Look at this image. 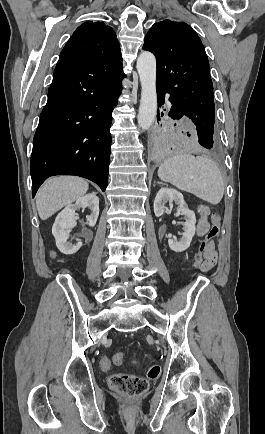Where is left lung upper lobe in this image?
Wrapping results in <instances>:
<instances>
[{"label": "left lung upper lobe", "mask_w": 265, "mask_h": 434, "mask_svg": "<svg viewBox=\"0 0 265 434\" xmlns=\"http://www.w3.org/2000/svg\"><path fill=\"white\" fill-rule=\"evenodd\" d=\"M144 50L157 62L156 85L170 93L195 126L215 125L213 84L204 46L185 22L169 19L155 23Z\"/></svg>", "instance_id": "5c2ea615"}]
</instances>
